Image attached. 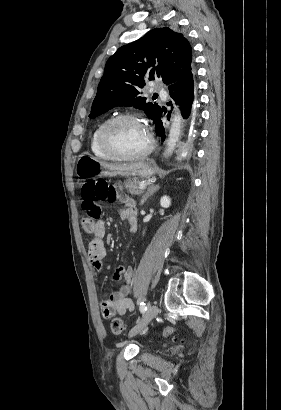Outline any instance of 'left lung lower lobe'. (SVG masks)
Here are the masks:
<instances>
[{
  "mask_svg": "<svg viewBox=\"0 0 281 410\" xmlns=\"http://www.w3.org/2000/svg\"><path fill=\"white\" fill-rule=\"evenodd\" d=\"M169 91L170 96L174 99L176 104L180 105L182 116L184 119H186V126L188 127V129H190V134H192V129L197 117L196 98L194 96L196 92L194 70L188 73L175 84L171 85L169 87ZM162 112L163 110H160L153 123L156 127V134L160 136L162 140H164L165 130L161 121ZM170 115L171 111H169L167 115L168 119L170 118Z\"/></svg>",
  "mask_w": 281,
  "mask_h": 410,
  "instance_id": "left-lung-lower-lobe-1",
  "label": "left lung lower lobe"
}]
</instances>
